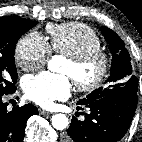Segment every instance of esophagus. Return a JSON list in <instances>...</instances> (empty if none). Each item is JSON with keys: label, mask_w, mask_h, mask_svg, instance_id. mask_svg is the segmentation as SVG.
<instances>
[{"label": "esophagus", "mask_w": 142, "mask_h": 142, "mask_svg": "<svg viewBox=\"0 0 142 142\" xmlns=\"http://www.w3.org/2000/svg\"><path fill=\"white\" fill-rule=\"evenodd\" d=\"M39 114H40V115H50L51 112L46 111V110H43V109H39Z\"/></svg>", "instance_id": "1"}]
</instances>
